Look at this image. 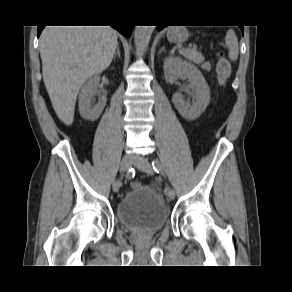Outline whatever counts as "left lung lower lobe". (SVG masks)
Masks as SVG:
<instances>
[{
    "label": "left lung lower lobe",
    "mask_w": 292,
    "mask_h": 292,
    "mask_svg": "<svg viewBox=\"0 0 292 292\" xmlns=\"http://www.w3.org/2000/svg\"><path fill=\"white\" fill-rule=\"evenodd\" d=\"M165 26L164 25H158L157 26V29L158 30H161V29H163ZM240 27V29H241V31H242V33H243V26H239Z\"/></svg>",
    "instance_id": "left-lung-lower-lobe-1"
}]
</instances>
